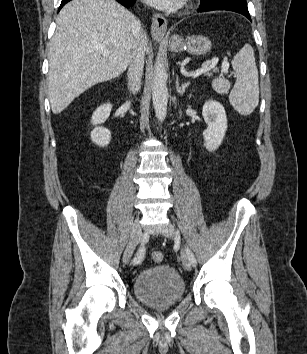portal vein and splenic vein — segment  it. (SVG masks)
<instances>
[{
	"label": "portal vein and splenic vein",
	"instance_id": "18ae733b",
	"mask_svg": "<svg viewBox=\"0 0 307 354\" xmlns=\"http://www.w3.org/2000/svg\"><path fill=\"white\" fill-rule=\"evenodd\" d=\"M97 49L101 51L103 56H109L110 52L108 49H106L102 45H98ZM219 59L218 58H212L211 60H207L203 63L202 67L200 69H197L191 76L193 78H196L204 73L209 72L211 69L215 68L217 65ZM229 68V63L227 61H224L222 64V72L227 73Z\"/></svg>",
	"mask_w": 307,
	"mask_h": 354
}]
</instances>
